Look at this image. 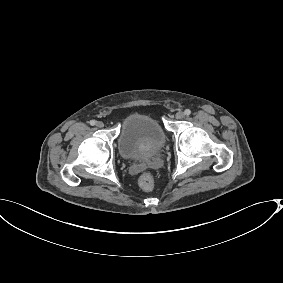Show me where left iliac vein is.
I'll return each mask as SVG.
<instances>
[{"label":"left iliac vein","instance_id":"4c4485c4","mask_svg":"<svg viewBox=\"0 0 283 283\" xmlns=\"http://www.w3.org/2000/svg\"><path fill=\"white\" fill-rule=\"evenodd\" d=\"M176 119L180 120L183 119L185 117V114L182 111H179L176 113L175 115Z\"/></svg>","mask_w":283,"mask_h":283}]
</instances>
